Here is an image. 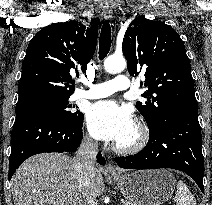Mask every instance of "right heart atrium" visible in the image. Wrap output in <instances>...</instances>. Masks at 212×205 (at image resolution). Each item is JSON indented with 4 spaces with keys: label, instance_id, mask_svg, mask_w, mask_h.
I'll return each instance as SVG.
<instances>
[{
    "label": "right heart atrium",
    "instance_id": "obj_1",
    "mask_svg": "<svg viewBox=\"0 0 212 205\" xmlns=\"http://www.w3.org/2000/svg\"><path fill=\"white\" fill-rule=\"evenodd\" d=\"M85 139H86V141H87L89 144H93V143H94L93 140H92V138H91L89 135H86Z\"/></svg>",
    "mask_w": 212,
    "mask_h": 205
}]
</instances>
